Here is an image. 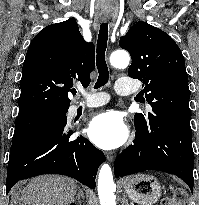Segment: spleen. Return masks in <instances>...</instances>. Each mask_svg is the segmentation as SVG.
<instances>
[{
    "label": "spleen",
    "instance_id": "spleen-1",
    "mask_svg": "<svg viewBox=\"0 0 199 205\" xmlns=\"http://www.w3.org/2000/svg\"><path fill=\"white\" fill-rule=\"evenodd\" d=\"M170 189H172V190H173V187H172V186H170Z\"/></svg>",
    "mask_w": 199,
    "mask_h": 205
}]
</instances>
